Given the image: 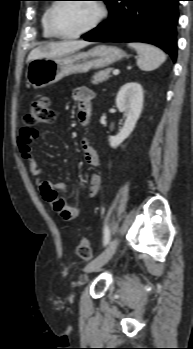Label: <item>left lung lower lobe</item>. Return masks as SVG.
I'll list each match as a JSON object with an SVG mask.
<instances>
[{"instance_id":"0a47b994","label":"left lung lower lobe","mask_w":193,"mask_h":349,"mask_svg":"<svg viewBox=\"0 0 193 349\" xmlns=\"http://www.w3.org/2000/svg\"><path fill=\"white\" fill-rule=\"evenodd\" d=\"M180 0H109V18L82 37L95 42H146L176 61Z\"/></svg>"}]
</instances>
